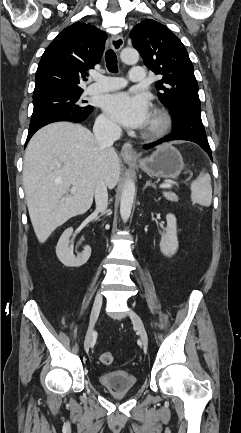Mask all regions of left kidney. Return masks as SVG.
Masks as SVG:
<instances>
[{"instance_id": "1", "label": "left kidney", "mask_w": 241, "mask_h": 433, "mask_svg": "<svg viewBox=\"0 0 241 433\" xmlns=\"http://www.w3.org/2000/svg\"><path fill=\"white\" fill-rule=\"evenodd\" d=\"M167 227L166 232L160 241V251L167 257L173 256L179 247L177 238V222L173 214H167Z\"/></svg>"}]
</instances>
